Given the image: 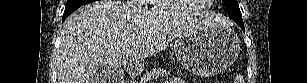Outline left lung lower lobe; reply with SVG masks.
<instances>
[{"label": "left lung lower lobe", "instance_id": "0a47b994", "mask_svg": "<svg viewBox=\"0 0 307 83\" xmlns=\"http://www.w3.org/2000/svg\"><path fill=\"white\" fill-rule=\"evenodd\" d=\"M238 25L241 27V29L244 31V24L238 23Z\"/></svg>", "mask_w": 307, "mask_h": 83}]
</instances>
